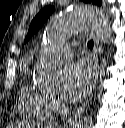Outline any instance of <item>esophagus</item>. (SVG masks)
<instances>
[{
    "label": "esophagus",
    "instance_id": "1",
    "mask_svg": "<svg viewBox=\"0 0 125 128\" xmlns=\"http://www.w3.org/2000/svg\"><path fill=\"white\" fill-rule=\"evenodd\" d=\"M93 39H94V47H93V51H92V60H93V65H94V81H93V85H92V87L90 89L88 97L83 102V104L74 112L72 117L66 123V126H70V125L74 124L77 121V119L80 117L81 113L83 112V110L85 109V107L87 106L89 101L92 99L94 90L96 88V84H97L98 76H99V58H98L99 41H98V39L96 37H94Z\"/></svg>",
    "mask_w": 125,
    "mask_h": 128
}]
</instances>
